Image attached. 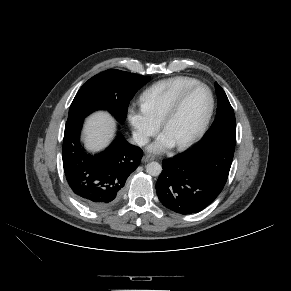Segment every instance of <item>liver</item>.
I'll list each match as a JSON object with an SVG mask.
<instances>
[{
  "label": "liver",
  "instance_id": "1",
  "mask_svg": "<svg viewBox=\"0 0 291 291\" xmlns=\"http://www.w3.org/2000/svg\"><path fill=\"white\" fill-rule=\"evenodd\" d=\"M115 132V120L104 111L95 112L86 119L83 139L87 149L99 151L107 146Z\"/></svg>",
  "mask_w": 291,
  "mask_h": 291
}]
</instances>
